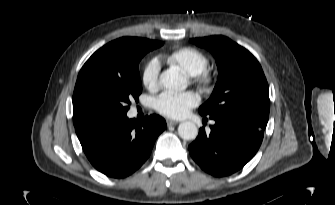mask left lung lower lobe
Wrapping results in <instances>:
<instances>
[{"mask_svg": "<svg viewBox=\"0 0 335 205\" xmlns=\"http://www.w3.org/2000/svg\"><path fill=\"white\" fill-rule=\"evenodd\" d=\"M208 117L215 124L210 126L209 134L204 128L199 130V135L188 147L190 154L204 171L213 176L235 173L258 151L267 124L232 114Z\"/></svg>", "mask_w": 335, "mask_h": 205, "instance_id": "left-lung-lower-lobe-1", "label": "left lung lower lobe"}]
</instances>
